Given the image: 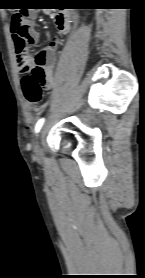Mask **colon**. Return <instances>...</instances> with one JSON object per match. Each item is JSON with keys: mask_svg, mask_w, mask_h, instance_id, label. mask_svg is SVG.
<instances>
[{"mask_svg": "<svg viewBox=\"0 0 145 278\" xmlns=\"http://www.w3.org/2000/svg\"><path fill=\"white\" fill-rule=\"evenodd\" d=\"M27 16V12L16 14L12 21L11 32L17 53L26 54L30 57L29 49L26 46L29 32L25 24ZM32 59L35 61V67L23 76L22 90L26 100L31 105H39L43 99L42 90L46 81V60L41 54H36Z\"/></svg>", "mask_w": 145, "mask_h": 278, "instance_id": "5ec220e1", "label": "colon"}]
</instances>
